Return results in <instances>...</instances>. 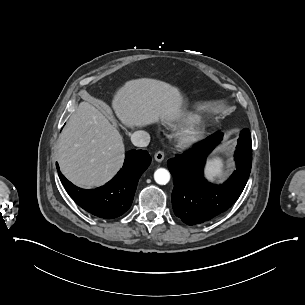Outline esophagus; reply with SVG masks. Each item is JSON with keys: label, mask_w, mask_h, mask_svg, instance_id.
Instances as JSON below:
<instances>
[{"label": "esophagus", "mask_w": 305, "mask_h": 305, "mask_svg": "<svg viewBox=\"0 0 305 305\" xmlns=\"http://www.w3.org/2000/svg\"><path fill=\"white\" fill-rule=\"evenodd\" d=\"M164 156H165V154H164L163 151H158V152L154 155V158H155V160H156L157 162H161V161H163Z\"/></svg>", "instance_id": "esophagus-1"}]
</instances>
